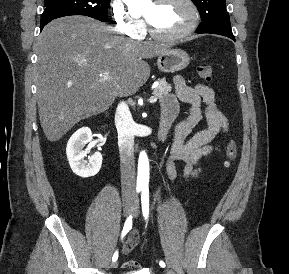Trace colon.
Instances as JSON below:
<instances>
[{"instance_id": "5ec220e1", "label": "colon", "mask_w": 289, "mask_h": 274, "mask_svg": "<svg viewBox=\"0 0 289 274\" xmlns=\"http://www.w3.org/2000/svg\"><path fill=\"white\" fill-rule=\"evenodd\" d=\"M197 73L199 77L204 81H211L213 78V68L211 65L204 64L197 67ZM237 156V146L233 140H230L226 146V159L224 161V166L230 168ZM140 267L136 260H127L123 263V268L128 270H138ZM147 273L146 271H143Z\"/></svg>"}]
</instances>
